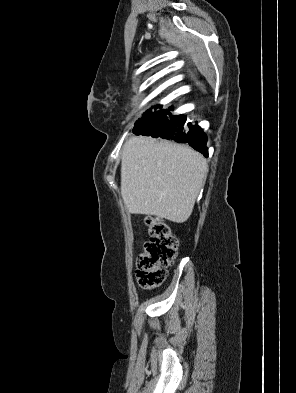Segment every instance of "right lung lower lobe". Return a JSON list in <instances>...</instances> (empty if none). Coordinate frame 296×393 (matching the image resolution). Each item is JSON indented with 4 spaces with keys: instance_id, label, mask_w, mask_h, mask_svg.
I'll return each instance as SVG.
<instances>
[{
    "instance_id": "1",
    "label": "right lung lower lobe",
    "mask_w": 296,
    "mask_h": 393,
    "mask_svg": "<svg viewBox=\"0 0 296 393\" xmlns=\"http://www.w3.org/2000/svg\"><path fill=\"white\" fill-rule=\"evenodd\" d=\"M157 108H162V105L155 106V109ZM169 109L173 110L172 107ZM169 109H160L155 112L147 110L143 117L135 123L132 132L136 135H150L180 143H188L195 150L208 157L207 137L202 129L197 124H186L184 115H171Z\"/></svg>"
}]
</instances>
